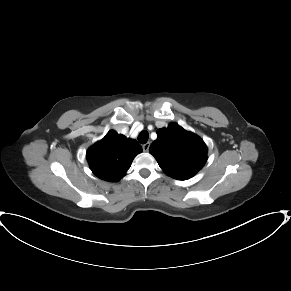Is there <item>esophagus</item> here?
<instances>
[{
	"label": "esophagus",
	"mask_w": 291,
	"mask_h": 291,
	"mask_svg": "<svg viewBox=\"0 0 291 291\" xmlns=\"http://www.w3.org/2000/svg\"><path fill=\"white\" fill-rule=\"evenodd\" d=\"M149 147H150V143L147 142L146 144L143 145V151L144 152H148L149 151Z\"/></svg>",
	"instance_id": "34e87169"
}]
</instances>
